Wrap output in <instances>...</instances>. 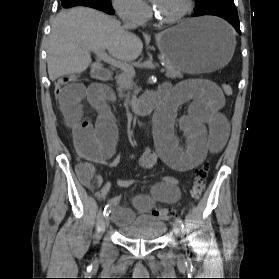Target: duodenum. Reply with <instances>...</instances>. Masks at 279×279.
Masks as SVG:
<instances>
[{
  "label": "duodenum",
  "mask_w": 279,
  "mask_h": 279,
  "mask_svg": "<svg viewBox=\"0 0 279 279\" xmlns=\"http://www.w3.org/2000/svg\"><path fill=\"white\" fill-rule=\"evenodd\" d=\"M92 76L104 82L109 80L111 73L107 69L98 68L92 72ZM156 104H158L157 100L141 96L133 100L130 104V107L135 114L145 115L150 113L156 107Z\"/></svg>",
  "instance_id": "410a0bca"
}]
</instances>
